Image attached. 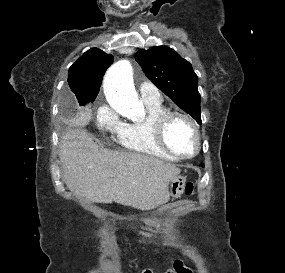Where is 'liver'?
<instances>
[{
	"mask_svg": "<svg viewBox=\"0 0 285 273\" xmlns=\"http://www.w3.org/2000/svg\"><path fill=\"white\" fill-rule=\"evenodd\" d=\"M59 158L67 188L95 203L113 201L150 210L169 200V182L180 173L158 158L100 146L81 128L60 139Z\"/></svg>",
	"mask_w": 285,
	"mask_h": 273,
	"instance_id": "obj_1",
	"label": "liver"
}]
</instances>
